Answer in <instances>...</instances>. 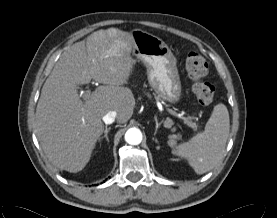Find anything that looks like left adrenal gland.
Returning a JSON list of instances; mask_svg holds the SVG:
<instances>
[{"mask_svg": "<svg viewBox=\"0 0 277 218\" xmlns=\"http://www.w3.org/2000/svg\"><path fill=\"white\" fill-rule=\"evenodd\" d=\"M154 119H155V123H156V126H155V132H154V136L156 135V133H157V131H158V129H159V127L161 126V124H162V122H158V120H157V116H154ZM171 138V137H170ZM157 149H159V147H157Z\"/></svg>", "mask_w": 277, "mask_h": 218, "instance_id": "obj_1", "label": "left adrenal gland"}]
</instances>
